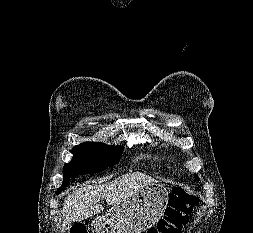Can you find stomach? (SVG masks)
<instances>
[{
  "instance_id": "stomach-1",
  "label": "stomach",
  "mask_w": 253,
  "mask_h": 233,
  "mask_svg": "<svg viewBox=\"0 0 253 233\" xmlns=\"http://www.w3.org/2000/svg\"><path fill=\"white\" fill-rule=\"evenodd\" d=\"M168 204V190L153 184L114 205L93 221L95 233H142L161 218Z\"/></svg>"
}]
</instances>
